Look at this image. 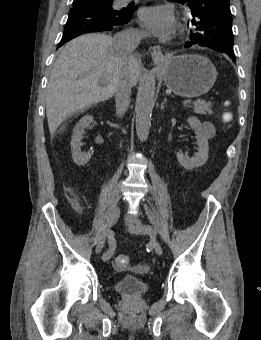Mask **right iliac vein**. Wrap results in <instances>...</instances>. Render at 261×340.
<instances>
[{"label": "right iliac vein", "instance_id": "right-iliac-vein-1", "mask_svg": "<svg viewBox=\"0 0 261 340\" xmlns=\"http://www.w3.org/2000/svg\"><path fill=\"white\" fill-rule=\"evenodd\" d=\"M120 217V209L117 206H114L109 214L108 221H107V228H111L119 219ZM105 245V237L101 239L95 247L94 253L98 255L102 252Z\"/></svg>", "mask_w": 261, "mask_h": 340}]
</instances>
